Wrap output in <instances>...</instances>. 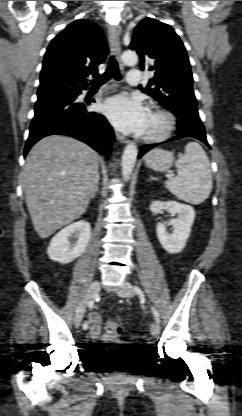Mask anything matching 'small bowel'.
<instances>
[{
    "label": "small bowel",
    "instance_id": "small-bowel-1",
    "mask_svg": "<svg viewBox=\"0 0 242 416\" xmlns=\"http://www.w3.org/2000/svg\"><path fill=\"white\" fill-rule=\"evenodd\" d=\"M88 319L91 323V328H90L91 338L101 343L111 342V338L109 336L101 334V319H100L99 314L95 312L90 313L88 316Z\"/></svg>",
    "mask_w": 242,
    "mask_h": 416
}]
</instances>
